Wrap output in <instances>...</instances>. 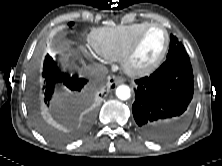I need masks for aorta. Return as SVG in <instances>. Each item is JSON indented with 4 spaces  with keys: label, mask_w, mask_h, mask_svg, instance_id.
I'll return each instance as SVG.
<instances>
[{
    "label": "aorta",
    "mask_w": 222,
    "mask_h": 166,
    "mask_svg": "<svg viewBox=\"0 0 222 166\" xmlns=\"http://www.w3.org/2000/svg\"><path fill=\"white\" fill-rule=\"evenodd\" d=\"M116 96L121 100H128L131 96V90L127 85H120L116 89Z\"/></svg>",
    "instance_id": "762f6f07"
}]
</instances>
